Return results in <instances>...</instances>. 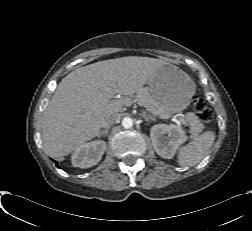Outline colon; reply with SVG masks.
Wrapping results in <instances>:
<instances>
[{
    "mask_svg": "<svg viewBox=\"0 0 252 231\" xmlns=\"http://www.w3.org/2000/svg\"><path fill=\"white\" fill-rule=\"evenodd\" d=\"M193 109L197 117L204 123L209 124L213 119V112L200 97H194L192 101Z\"/></svg>",
    "mask_w": 252,
    "mask_h": 231,
    "instance_id": "obj_1",
    "label": "colon"
}]
</instances>
